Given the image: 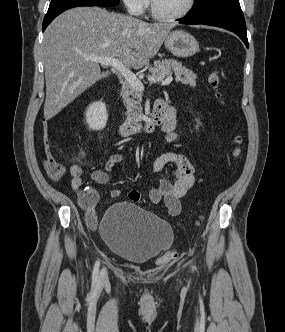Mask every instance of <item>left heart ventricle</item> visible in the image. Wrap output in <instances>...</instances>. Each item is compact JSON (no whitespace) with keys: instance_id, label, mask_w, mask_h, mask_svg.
Masks as SVG:
<instances>
[{"instance_id":"obj_1","label":"left heart ventricle","mask_w":285,"mask_h":332,"mask_svg":"<svg viewBox=\"0 0 285 332\" xmlns=\"http://www.w3.org/2000/svg\"><path fill=\"white\" fill-rule=\"evenodd\" d=\"M189 0H154L156 9L164 15H175L183 11Z\"/></svg>"}]
</instances>
